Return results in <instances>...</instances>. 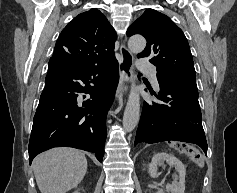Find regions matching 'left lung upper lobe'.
Masks as SVG:
<instances>
[{"label":"left lung upper lobe","instance_id":"obj_1","mask_svg":"<svg viewBox=\"0 0 237 193\" xmlns=\"http://www.w3.org/2000/svg\"><path fill=\"white\" fill-rule=\"evenodd\" d=\"M141 34L146 48L138 57H149L157 67L161 83L196 86V74L188 41L182 30L166 15L147 9L127 30V35Z\"/></svg>","mask_w":237,"mask_h":193}]
</instances>
